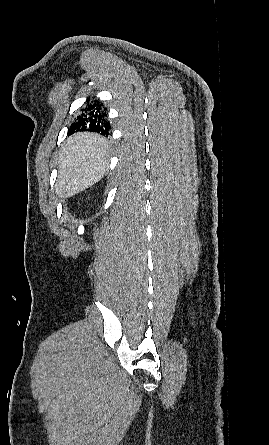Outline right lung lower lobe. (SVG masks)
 <instances>
[{
  "label": "right lung lower lobe",
  "instance_id": "1",
  "mask_svg": "<svg viewBox=\"0 0 269 445\" xmlns=\"http://www.w3.org/2000/svg\"><path fill=\"white\" fill-rule=\"evenodd\" d=\"M107 108L103 107L99 100H88L82 114L78 116L71 125L69 134L81 131L100 133L108 136L111 134V127L107 120Z\"/></svg>",
  "mask_w": 269,
  "mask_h": 445
}]
</instances>
